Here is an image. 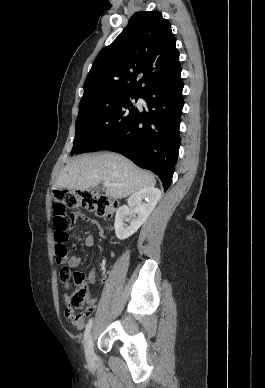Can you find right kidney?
Wrapping results in <instances>:
<instances>
[{
	"label": "right kidney",
	"mask_w": 265,
	"mask_h": 388,
	"mask_svg": "<svg viewBox=\"0 0 265 388\" xmlns=\"http://www.w3.org/2000/svg\"><path fill=\"white\" fill-rule=\"evenodd\" d=\"M160 198L161 192L158 188H141L130 196L128 206H121L116 212L114 228L118 240L133 236L149 218Z\"/></svg>",
	"instance_id": "1"
}]
</instances>
